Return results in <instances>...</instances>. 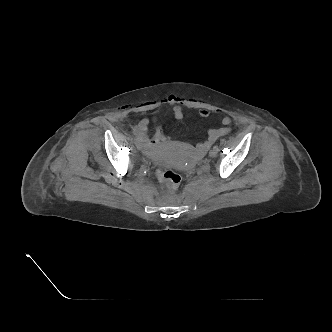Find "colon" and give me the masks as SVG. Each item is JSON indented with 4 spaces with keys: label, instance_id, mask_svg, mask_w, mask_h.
Masks as SVG:
<instances>
[{
    "label": "colon",
    "instance_id": "1",
    "mask_svg": "<svg viewBox=\"0 0 332 332\" xmlns=\"http://www.w3.org/2000/svg\"><path fill=\"white\" fill-rule=\"evenodd\" d=\"M156 137L159 139L164 138L160 129H157ZM157 177L161 183L171 190L177 189L181 182V176L170 169H159Z\"/></svg>",
    "mask_w": 332,
    "mask_h": 332
}]
</instances>
